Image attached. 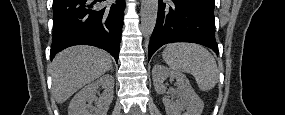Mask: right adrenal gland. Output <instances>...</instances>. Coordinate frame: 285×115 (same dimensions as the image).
<instances>
[{
  "mask_svg": "<svg viewBox=\"0 0 285 115\" xmlns=\"http://www.w3.org/2000/svg\"><path fill=\"white\" fill-rule=\"evenodd\" d=\"M110 70H111L112 72L114 71L112 66H111Z\"/></svg>",
  "mask_w": 285,
  "mask_h": 115,
  "instance_id": "right-adrenal-gland-1",
  "label": "right adrenal gland"
}]
</instances>
